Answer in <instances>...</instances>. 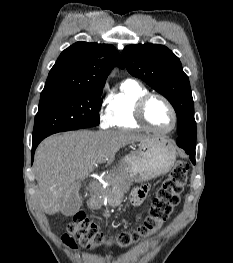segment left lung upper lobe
Wrapping results in <instances>:
<instances>
[{
    "label": "left lung upper lobe",
    "mask_w": 233,
    "mask_h": 263,
    "mask_svg": "<svg viewBox=\"0 0 233 263\" xmlns=\"http://www.w3.org/2000/svg\"><path fill=\"white\" fill-rule=\"evenodd\" d=\"M122 56L128 72L158 91L174 107L177 114V142L196 146L194 102L188 76L178 57L158 44L128 45Z\"/></svg>",
    "instance_id": "left-lung-upper-lobe-1"
}]
</instances>
